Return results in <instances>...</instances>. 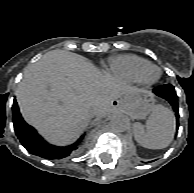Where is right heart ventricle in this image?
I'll list each match as a JSON object with an SVG mask.
<instances>
[{"instance_id":"e07e8e85","label":"right heart ventricle","mask_w":194,"mask_h":193,"mask_svg":"<svg viewBox=\"0 0 194 193\" xmlns=\"http://www.w3.org/2000/svg\"><path fill=\"white\" fill-rule=\"evenodd\" d=\"M148 63L150 62L136 55H117L109 59L108 70L120 80L137 82L140 69Z\"/></svg>"}]
</instances>
